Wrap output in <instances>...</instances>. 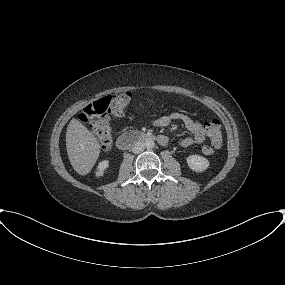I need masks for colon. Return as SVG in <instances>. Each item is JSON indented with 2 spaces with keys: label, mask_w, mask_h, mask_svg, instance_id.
<instances>
[{
  "label": "colon",
  "mask_w": 285,
  "mask_h": 285,
  "mask_svg": "<svg viewBox=\"0 0 285 285\" xmlns=\"http://www.w3.org/2000/svg\"><path fill=\"white\" fill-rule=\"evenodd\" d=\"M131 100L128 92L102 97L88 104L79 115V119L91 126L95 132L102 150H108L113 143V134L109 125L111 117L125 114ZM210 145H204L202 152L212 155L222 143V127L218 121H210L205 125Z\"/></svg>",
  "instance_id": "colon-1"
}]
</instances>
